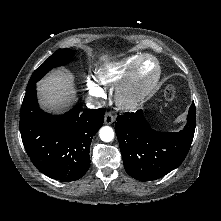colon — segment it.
Listing matches in <instances>:
<instances>
[{"label":"colon","mask_w":221,"mask_h":221,"mask_svg":"<svg viewBox=\"0 0 221 221\" xmlns=\"http://www.w3.org/2000/svg\"><path fill=\"white\" fill-rule=\"evenodd\" d=\"M165 98L167 101H172L175 98V89L173 86H168L165 89Z\"/></svg>","instance_id":"5ec220e1"}]
</instances>
